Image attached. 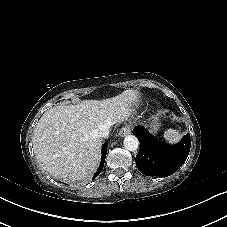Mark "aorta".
Wrapping results in <instances>:
<instances>
[{"label":"aorta","mask_w":227,"mask_h":227,"mask_svg":"<svg viewBox=\"0 0 227 227\" xmlns=\"http://www.w3.org/2000/svg\"><path fill=\"white\" fill-rule=\"evenodd\" d=\"M124 147L129 151H136L139 147V141L134 135H128L123 141Z\"/></svg>","instance_id":"aorta-1"}]
</instances>
